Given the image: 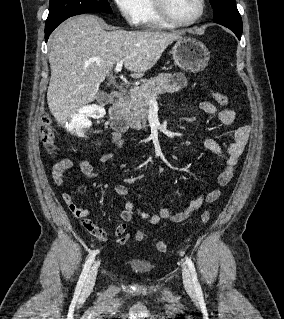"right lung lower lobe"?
<instances>
[{
	"instance_id": "obj_1",
	"label": "right lung lower lobe",
	"mask_w": 284,
	"mask_h": 319,
	"mask_svg": "<svg viewBox=\"0 0 284 319\" xmlns=\"http://www.w3.org/2000/svg\"><path fill=\"white\" fill-rule=\"evenodd\" d=\"M64 20L54 24L53 26L47 27L45 28V40L47 41V39L49 38V35L51 34V32L60 24L62 23Z\"/></svg>"
}]
</instances>
